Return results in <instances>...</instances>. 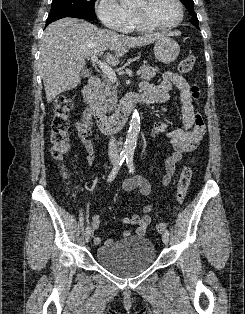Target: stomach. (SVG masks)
Wrapping results in <instances>:
<instances>
[{"label": "stomach", "mask_w": 245, "mask_h": 314, "mask_svg": "<svg viewBox=\"0 0 245 314\" xmlns=\"http://www.w3.org/2000/svg\"><path fill=\"white\" fill-rule=\"evenodd\" d=\"M180 53L179 44L170 37L160 38L154 45L155 57L163 63L174 62Z\"/></svg>", "instance_id": "1"}]
</instances>
